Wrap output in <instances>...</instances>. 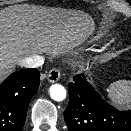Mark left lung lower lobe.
<instances>
[{"mask_svg": "<svg viewBox=\"0 0 131 131\" xmlns=\"http://www.w3.org/2000/svg\"><path fill=\"white\" fill-rule=\"evenodd\" d=\"M68 91L64 119L69 131H131V110L119 111L108 104L84 74L74 77Z\"/></svg>", "mask_w": 131, "mask_h": 131, "instance_id": "obj_1", "label": "left lung lower lobe"}]
</instances>
